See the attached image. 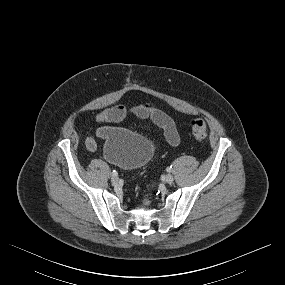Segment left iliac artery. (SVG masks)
I'll list each match as a JSON object with an SVG mask.
<instances>
[{"mask_svg": "<svg viewBox=\"0 0 285 285\" xmlns=\"http://www.w3.org/2000/svg\"><path fill=\"white\" fill-rule=\"evenodd\" d=\"M166 170H167V172H171L172 171V166L168 167Z\"/></svg>", "mask_w": 285, "mask_h": 285, "instance_id": "44dca946", "label": "left iliac artery"}]
</instances>
